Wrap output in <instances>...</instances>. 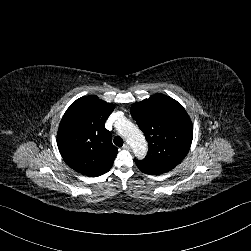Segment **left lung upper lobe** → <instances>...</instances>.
<instances>
[{
  "mask_svg": "<svg viewBox=\"0 0 251 251\" xmlns=\"http://www.w3.org/2000/svg\"><path fill=\"white\" fill-rule=\"evenodd\" d=\"M130 112L148 142L145 161L176 167L187 155L193 138L192 122L176 100L155 94L134 103Z\"/></svg>",
  "mask_w": 251,
  "mask_h": 251,
  "instance_id": "left-lung-upper-lobe-1",
  "label": "left lung upper lobe"
}]
</instances>
